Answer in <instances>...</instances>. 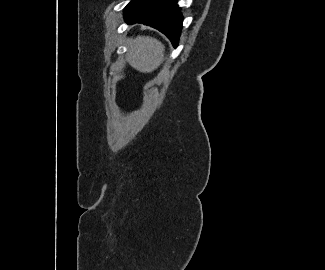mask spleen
I'll return each mask as SVG.
<instances>
[{
	"label": "spleen",
	"mask_w": 325,
	"mask_h": 270,
	"mask_svg": "<svg viewBox=\"0 0 325 270\" xmlns=\"http://www.w3.org/2000/svg\"><path fill=\"white\" fill-rule=\"evenodd\" d=\"M127 62L136 70L150 73L157 69L164 58V45L149 36H137L128 42Z\"/></svg>",
	"instance_id": "3e777b00"
}]
</instances>
